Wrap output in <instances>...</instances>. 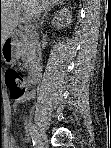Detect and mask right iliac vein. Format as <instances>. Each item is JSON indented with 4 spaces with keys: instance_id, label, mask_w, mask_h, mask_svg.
<instances>
[{
    "instance_id": "1",
    "label": "right iliac vein",
    "mask_w": 111,
    "mask_h": 148,
    "mask_svg": "<svg viewBox=\"0 0 111 148\" xmlns=\"http://www.w3.org/2000/svg\"><path fill=\"white\" fill-rule=\"evenodd\" d=\"M38 144V147H44V145L46 144V137L43 134V131L40 127L35 128V132L32 135Z\"/></svg>"
}]
</instances>
